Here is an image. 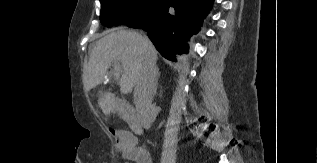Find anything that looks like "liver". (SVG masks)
I'll return each instance as SVG.
<instances>
[{"label":"liver","mask_w":317,"mask_h":163,"mask_svg":"<svg viewBox=\"0 0 317 163\" xmlns=\"http://www.w3.org/2000/svg\"><path fill=\"white\" fill-rule=\"evenodd\" d=\"M144 37L136 31L117 30L108 33L96 42L84 70L85 90L100 85L113 61L121 63L120 92L128 94L136 85L143 66ZM153 53L157 58L153 45ZM98 106L105 116L117 110L115 95L109 91L102 94Z\"/></svg>","instance_id":"liver-1"}]
</instances>
